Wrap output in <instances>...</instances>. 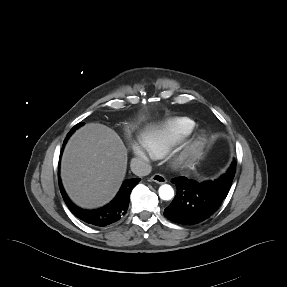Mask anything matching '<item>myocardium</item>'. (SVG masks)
<instances>
[{
	"label": "myocardium",
	"instance_id": "f54148a6",
	"mask_svg": "<svg viewBox=\"0 0 287 287\" xmlns=\"http://www.w3.org/2000/svg\"><path fill=\"white\" fill-rule=\"evenodd\" d=\"M207 143V135L204 132L196 134L187 145L177 151L172 158L175 164H184L192 161L196 155L205 147Z\"/></svg>",
	"mask_w": 287,
	"mask_h": 287
}]
</instances>
